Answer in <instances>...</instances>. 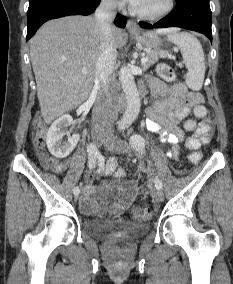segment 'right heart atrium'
<instances>
[{
	"label": "right heart atrium",
	"instance_id": "right-heart-atrium-1",
	"mask_svg": "<svg viewBox=\"0 0 233 284\" xmlns=\"http://www.w3.org/2000/svg\"><path fill=\"white\" fill-rule=\"evenodd\" d=\"M103 2L108 6V7H118L120 5L119 0H103Z\"/></svg>",
	"mask_w": 233,
	"mask_h": 284
}]
</instances>
